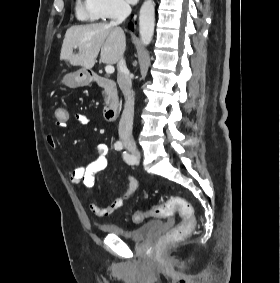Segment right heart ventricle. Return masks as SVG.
<instances>
[{"label":"right heart ventricle","mask_w":280,"mask_h":283,"mask_svg":"<svg viewBox=\"0 0 280 283\" xmlns=\"http://www.w3.org/2000/svg\"><path fill=\"white\" fill-rule=\"evenodd\" d=\"M75 10L76 16L81 20L96 19L89 11L87 0H77Z\"/></svg>","instance_id":"right-heart-ventricle-1"}]
</instances>
